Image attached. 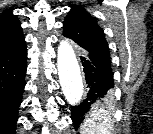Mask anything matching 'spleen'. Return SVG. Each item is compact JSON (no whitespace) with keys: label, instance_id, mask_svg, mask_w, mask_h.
<instances>
[{"label":"spleen","instance_id":"spleen-1","mask_svg":"<svg viewBox=\"0 0 153 134\" xmlns=\"http://www.w3.org/2000/svg\"><path fill=\"white\" fill-rule=\"evenodd\" d=\"M114 122L111 113L103 106L95 105L86 115L80 127L81 134H111Z\"/></svg>","mask_w":153,"mask_h":134}]
</instances>
